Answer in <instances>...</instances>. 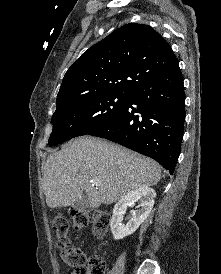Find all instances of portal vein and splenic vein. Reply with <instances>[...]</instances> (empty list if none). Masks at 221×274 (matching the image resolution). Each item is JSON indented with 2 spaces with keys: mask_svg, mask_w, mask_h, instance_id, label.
Wrapping results in <instances>:
<instances>
[{
  "mask_svg": "<svg viewBox=\"0 0 221 274\" xmlns=\"http://www.w3.org/2000/svg\"><path fill=\"white\" fill-rule=\"evenodd\" d=\"M91 183H93V184H98L97 182H95V180H91Z\"/></svg>",
  "mask_w": 221,
  "mask_h": 274,
  "instance_id": "portal-vein-and-splenic-vein-1",
  "label": "portal vein and splenic vein"
}]
</instances>
